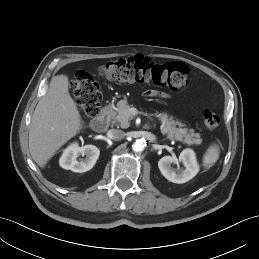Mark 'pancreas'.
Returning <instances> with one entry per match:
<instances>
[{"label": "pancreas", "mask_w": 259, "mask_h": 259, "mask_svg": "<svg viewBox=\"0 0 259 259\" xmlns=\"http://www.w3.org/2000/svg\"><path fill=\"white\" fill-rule=\"evenodd\" d=\"M112 119L120 123L122 128L129 127L131 118L130 105L127 100L123 99L117 103L116 111L111 112ZM156 117L161 121V132L170 140L180 141L188 145H200L202 142L201 135L195 133L193 129L186 128L181 121L174 120L173 116L167 113L156 114ZM184 127V128H183Z\"/></svg>", "instance_id": "1"}]
</instances>
